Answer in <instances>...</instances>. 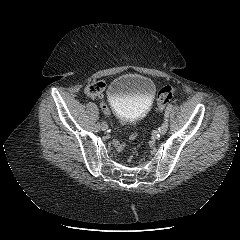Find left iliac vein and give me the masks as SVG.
Listing matches in <instances>:
<instances>
[{"label":"left iliac vein","instance_id":"4c4485c4","mask_svg":"<svg viewBox=\"0 0 240 240\" xmlns=\"http://www.w3.org/2000/svg\"><path fill=\"white\" fill-rule=\"evenodd\" d=\"M168 127H169V123H168V121L165 120L160 128V134L164 135L167 132Z\"/></svg>","mask_w":240,"mask_h":240}]
</instances>
